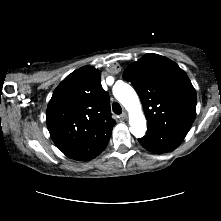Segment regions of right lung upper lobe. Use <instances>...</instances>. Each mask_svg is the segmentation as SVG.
<instances>
[{"label":"right lung upper lobe","instance_id":"obj_1","mask_svg":"<svg viewBox=\"0 0 221 221\" xmlns=\"http://www.w3.org/2000/svg\"><path fill=\"white\" fill-rule=\"evenodd\" d=\"M46 122L56 146L71 159L86 161L106 143L116 123L100 71L85 66L68 75L52 95Z\"/></svg>","mask_w":221,"mask_h":221}]
</instances>
